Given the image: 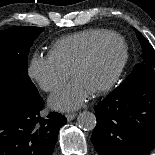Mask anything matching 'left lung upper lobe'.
Instances as JSON below:
<instances>
[{"label":"left lung upper lobe","mask_w":155,"mask_h":155,"mask_svg":"<svg viewBox=\"0 0 155 155\" xmlns=\"http://www.w3.org/2000/svg\"><path fill=\"white\" fill-rule=\"evenodd\" d=\"M135 33L142 47V61L136 64L129 76L124 80L123 83L131 82L136 80L152 71H155V50L149 41L142 36V34L137 31Z\"/></svg>","instance_id":"obj_1"}]
</instances>
